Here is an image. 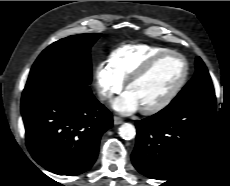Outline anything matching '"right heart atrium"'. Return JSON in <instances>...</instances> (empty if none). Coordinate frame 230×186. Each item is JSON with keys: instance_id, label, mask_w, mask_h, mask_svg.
I'll list each match as a JSON object with an SVG mask.
<instances>
[{"instance_id": "1", "label": "right heart atrium", "mask_w": 230, "mask_h": 186, "mask_svg": "<svg viewBox=\"0 0 230 186\" xmlns=\"http://www.w3.org/2000/svg\"><path fill=\"white\" fill-rule=\"evenodd\" d=\"M98 94L102 100H109L123 89L124 82L112 71L109 64L102 61L95 68Z\"/></svg>"}]
</instances>
